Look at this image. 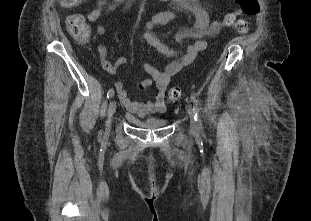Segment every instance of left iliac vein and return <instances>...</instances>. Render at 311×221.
Returning a JSON list of instances; mask_svg holds the SVG:
<instances>
[{
  "label": "left iliac vein",
  "instance_id": "obj_1",
  "mask_svg": "<svg viewBox=\"0 0 311 221\" xmlns=\"http://www.w3.org/2000/svg\"><path fill=\"white\" fill-rule=\"evenodd\" d=\"M187 111H188V114L190 116V128L192 131H195L197 129V124L194 120V113H193V110L191 108V105L190 104H187Z\"/></svg>",
  "mask_w": 311,
  "mask_h": 221
}]
</instances>
